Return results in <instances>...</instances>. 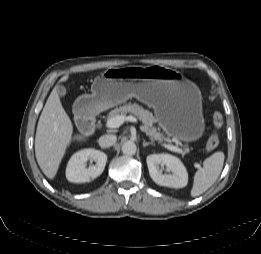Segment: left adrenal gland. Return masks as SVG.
Listing matches in <instances>:
<instances>
[{
	"label": "left adrenal gland",
	"mask_w": 261,
	"mask_h": 254,
	"mask_svg": "<svg viewBox=\"0 0 261 254\" xmlns=\"http://www.w3.org/2000/svg\"><path fill=\"white\" fill-rule=\"evenodd\" d=\"M149 145H154L153 142H146L145 140H143V147L149 146Z\"/></svg>",
	"instance_id": "obj_1"
}]
</instances>
